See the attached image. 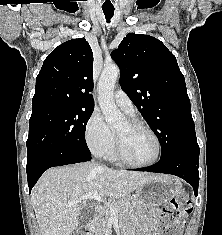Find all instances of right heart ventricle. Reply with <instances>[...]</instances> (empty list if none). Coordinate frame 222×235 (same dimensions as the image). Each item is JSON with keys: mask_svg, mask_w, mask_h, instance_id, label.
<instances>
[{"mask_svg": "<svg viewBox=\"0 0 222 235\" xmlns=\"http://www.w3.org/2000/svg\"><path fill=\"white\" fill-rule=\"evenodd\" d=\"M107 156H109V157L112 158V159H115V158H116L114 148L111 150V152H110Z\"/></svg>", "mask_w": 222, "mask_h": 235, "instance_id": "obj_1", "label": "right heart ventricle"}]
</instances>
